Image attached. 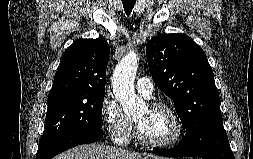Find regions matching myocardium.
<instances>
[{
    "mask_svg": "<svg viewBox=\"0 0 253 159\" xmlns=\"http://www.w3.org/2000/svg\"><path fill=\"white\" fill-rule=\"evenodd\" d=\"M147 106L150 108H155V109H163L166 112H168L174 121L175 132H174L173 136L167 140L152 141V140L147 139L143 135L137 122L135 121V128H136V134H137L138 140L143 145L155 147V148H167V147L175 145L182 138V136L184 134V125H183V122H182L180 116L176 112V110L172 106H170L164 102H160V101L151 102Z\"/></svg>",
    "mask_w": 253,
    "mask_h": 159,
    "instance_id": "myocardium-1",
    "label": "myocardium"
}]
</instances>
